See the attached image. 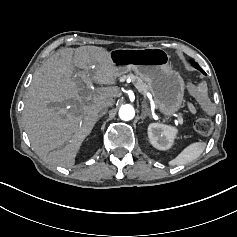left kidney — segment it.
Segmentation results:
<instances>
[{
  "mask_svg": "<svg viewBox=\"0 0 237 237\" xmlns=\"http://www.w3.org/2000/svg\"><path fill=\"white\" fill-rule=\"evenodd\" d=\"M178 129L173 126L151 123L148 126V138L153 147L158 150H168L172 147Z\"/></svg>",
  "mask_w": 237,
  "mask_h": 237,
  "instance_id": "1",
  "label": "left kidney"
}]
</instances>
